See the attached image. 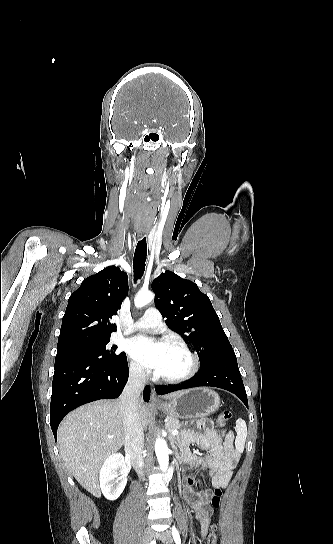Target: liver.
I'll list each match as a JSON object with an SVG mask.
<instances>
[{
    "label": "liver",
    "instance_id": "liver-1",
    "mask_svg": "<svg viewBox=\"0 0 333 544\" xmlns=\"http://www.w3.org/2000/svg\"><path fill=\"white\" fill-rule=\"evenodd\" d=\"M179 393L164 397L172 399ZM138 410L142 426L147 427L151 423L149 407L141 401ZM125 435L120 399L81 406L60 424L58 442L62 459L78 483L91 494L100 496L101 464L122 447Z\"/></svg>",
    "mask_w": 333,
    "mask_h": 544
}]
</instances>
